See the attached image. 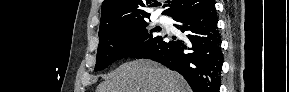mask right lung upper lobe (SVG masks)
<instances>
[{
  "instance_id": "obj_1",
  "label": "right lung upper lobe",
  "mask_w": 289,
  "mask_h": 92,
  "mask_svg": "<svg viewBox=\"0 0 289 92\" xmlns=\"http://www.w3.org/2000/svg\"><path fill=\"white\" fill-rule=\"evenodd\" d=\"M209 0H172L167 1L163 14L175 17L176 15L198 9L208 3ZM156 0H104L101 11L99 31L126 21L149 19L147 9L157 6Z\"/></svg>"
}]
</instances>
